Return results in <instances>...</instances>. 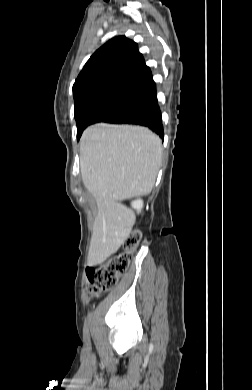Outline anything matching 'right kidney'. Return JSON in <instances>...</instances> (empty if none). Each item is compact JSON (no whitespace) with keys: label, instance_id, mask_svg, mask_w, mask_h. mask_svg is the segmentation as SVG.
<instances>
[{"label":"right kidney","instance_id":"obj_1","mask_svg":"<svg viewBox=\"0 0 252 390\" xmlns=\"http://www.w3.org/2000/svg\"><path fill=\"white\" fill-rule=\"evenodd\" d=\"M132 208H134L138 213L141 212L143 208V201L141 199L134 200L132 202Z\"/></svg>","mask_w":252,"mask_h":390}]
</instances>
